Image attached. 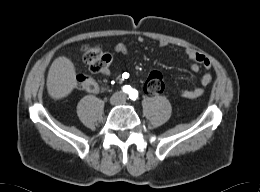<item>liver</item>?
<instances>
[{
  "mask_svg": "<svg viewBox=\"0 0 260 192\" xmlns=\"http://www.w3.org/2000/svg\"><path fill=\"white\" fill-rule=\"evenodd\" d=\"M76 86V71L72 61L65 56L56 58L47 76L49 95L53 99H61L68 96Z\"/></svg>",
  "mask_w": 260,
  "mask_h": 192,
  "instance_id": "1",
  "label": "liver"
}]
</instances>
